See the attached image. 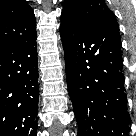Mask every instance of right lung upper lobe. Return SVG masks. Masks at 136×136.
Listing matches in <instances>:
<instances>
[{"label": "right lung upper lobe", "instance_id": "obj_1", "mask_svg": "<svg viewBox=\"0 0 136 136\" xmlns=\"http://www.w3.org/2000/svg\"><path fill=\"white\" fill-rule=\"evenodd\" d=\"M32 8L25 0L0 1V49L20 45L36 35Z\"/></svg>", "mask_w": 136, "mask_h": 136}]
</instances>
